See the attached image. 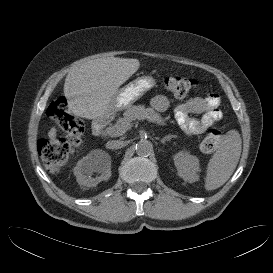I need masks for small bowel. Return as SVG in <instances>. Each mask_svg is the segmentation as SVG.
Listing matches in <instances>:
<instances>
[{
	"instance_id": "c3829d8e",
	"label": "small bowel",
	"mask_w": 273,
	"mask_h": 273,
	"mask_svg": "<svg viewBox=\"0 0 273 273\" xmlns=\"http://www.w3.org/2000/svg\"><path fill=\"white\" fill-rule=\"evenodd\" d=\"M151 104L158 112H164L171 107L169 99L163 95L155 96ZM219 105V95L210 93L205 97H194L178 105L175 110V116L178 124L187 133L200 135L222 119ZM192 115H200V117L194 118Z\"/></svg>"
}]
</instances>
